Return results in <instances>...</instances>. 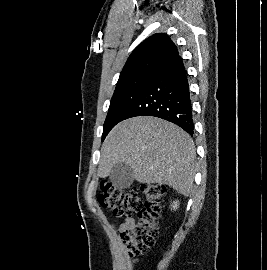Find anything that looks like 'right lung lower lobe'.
Here are the masks:
<instances>
[{
  "label": "right lung lower lobe",
  "instance_id": "right-lung-lower-lobe-1",
  "mask_svg": "<svg viewBox=\"0 0 267 270\" xmlns=\"http://www.w3.org/2000/svg\"><path fill=\"white\" fill-rule=\"evenodd\" d=\"M136 116L159 117L180 126L191 136L194 134L189 84L179 55L155 74L125 119Z\"/></svg>",
  "mask_w": 267,
  "mask_h": 270
}]
</instances>
